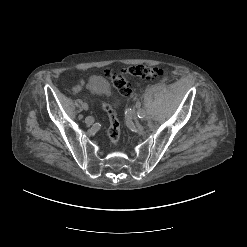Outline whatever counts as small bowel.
I'll return each instance as SVG.
<instances>
[{
    "label": "small bowel",
    "instance_id": "c3829d8e",
    "mask_svg": "<svg viewBox=\"0 0 247 247\" xmlns=\"http://www.w3.org/2000/svg\"><path fill=\"white\" fill-rule=\"evenodd\" d=\"M83 84H84V81L80 80L79 83L72 88V92H74V93L79 92L81 90Z\"/></svg>",
    "mask_w": 247,
    "mask_h": 247
}]
</instances>
